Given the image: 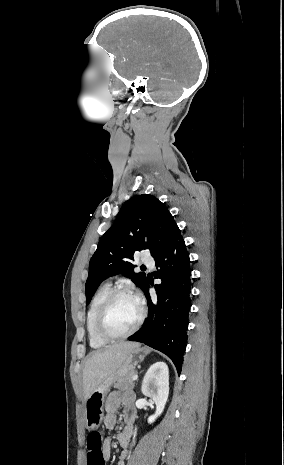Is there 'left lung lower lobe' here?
<instances>
[{"label": "left lung lower lobe", "instance_id": "left-lung-lower-lobe-1", "mask_svg": "<svg viewBox=\"0 0 284 465\" xmlns=\"http://www.w3.org/2000/svg\"><path fill=\"white\" fill-rule=\"evenodd\" d=\"M155 285L157 299L149 296L146 279L141 289L149 305V316L144 327L129 338L144 343L166 354L181 372L187 343L188 315L191 308V269L189 255L179 228L167 247L156 257Z\"/></svg>", "mask_w": 284, "mask_h": 465}]
</instances>
